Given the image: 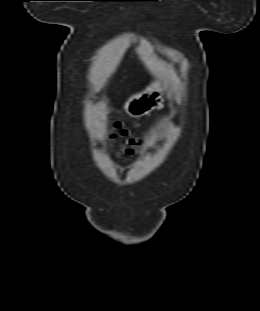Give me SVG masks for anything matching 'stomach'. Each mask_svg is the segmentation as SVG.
<instances>
[{
  "label": "stomach",
  "instance_id": "obj_1",
  "mask_svg": "<svg viewBox=\"0 0 260 311\" xmlns=\"http://www.w3.org/2000/svg\"><path fill=\"white\" fill-rule=\"evenodd\" d=\"M163 101V88L160 84L152 83L147 88L132 95L124 104V110L132 117L148 114Z\"/></svg>",
  "mask_w": 260,
  "mask_h": 311
}]
</instances>
